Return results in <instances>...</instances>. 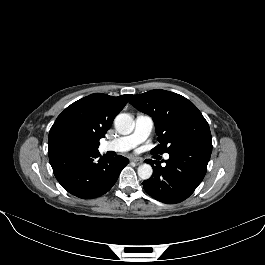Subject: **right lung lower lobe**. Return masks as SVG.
<instances>
[{"mask_svg":"<svg viewBox=\"0 0 265 265\" xmlns=\"http://www.w3.org/2000/svg\"><path fill=\"white\" fill-rule=\"evenodd\" d=\"M58 182L72 195L92 199L115 184L128 159L100 157L98 150L65 151L49 156Z\"/></svg>","mask_w":265,"mask_h":265,"instance_id":"right-lung-lower-lobe-1","label":"right lung lower lobe"}]
</instances>
